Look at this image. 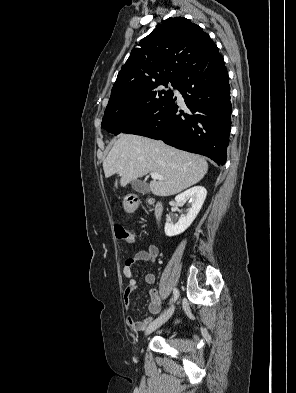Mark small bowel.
I'll list each match as a JSON object with an SVG mask.
<instances>
[{
  "instance_id": "c3829d8e",
  "label": "small bowel",
  "mask_w": 296,
  "mask_h": 393,
  "mask_svg": "<svg viewBox=\"0 0 296 393\" xmlns=\"http://www.w3.org/2000/svg\"><path fill=\"white\" fill-rule=\"evenodd\" d=\"M159 256V248L156 245H150L144 250L138 251L135 255L127 258L123 264V274L129 279L128 286L124 292V306L128 310L131 307V300L133 295L141 289L137 279L133 273V267L138 262H155ZM156 276L154 272H149L145 275L144 281L147 285L155 283ZM150 303L149 312L157 314L163 304V299L156 288H153L149 292ZM127 323L129 327L134 331H144L152 323L150 317H144L142 319H136L133 316L127 317Z\"/></svg>"
}]
</instances>
